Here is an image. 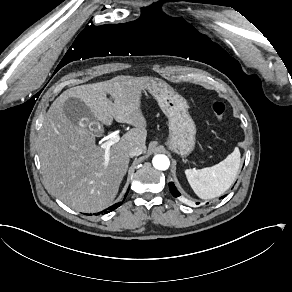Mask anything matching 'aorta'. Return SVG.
I'll use <instances>...</instances> for the list:
<instances>
[{"label":"aorta","mask_w":292,"mask_h":292,"mask_svg":"<svg viewBox=\"0 0 292 292\" xmlns=\"http://www.w3.org/2000/svg\"><path fill=\"white\" fill-rule=\"evenodd\" d=\"M153 166L158 170H167L170 165L169 158L166 155H156L152 160Z\"/></svg>","instance_id":"1"}]
</instances>
